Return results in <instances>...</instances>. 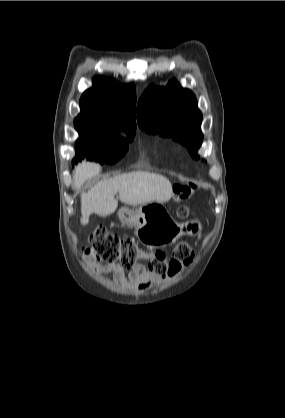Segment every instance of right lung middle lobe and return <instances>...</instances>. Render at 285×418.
<instances>
[{"label":"right lung middle lobe","mask_w":285,"mask_h":418,"mask_svg":"<svg viewBox=\"0 0 285 418\" xmlns=\"http://www.w3.org/2000/svg\"><path fill=\"white\" fill-rule=\"evenodd\" d=\"M75 128L80 138L75 144L76 156L73 163L86 158L101 164H114L128 150L127 140L118 137L120 126L76 118ZM126 129L131 140L135 127Z\"/></svg>","instance_id":"dd1d6c3e"}]
</instances>
